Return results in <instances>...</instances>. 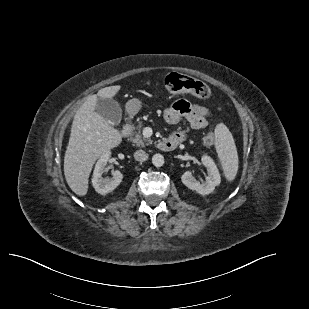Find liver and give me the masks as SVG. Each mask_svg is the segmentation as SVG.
Returning a JSON list of instances; mask_svg holds the SVG:
<instances>
[{
	"mask_svg": "<svg viewBox=\"0 0 309 309\" xmlns=\"http://www.w3.org/2000/svg\"><path fill=\"white\" fill-rule=\"evenodd\" d=\"M121 86H109L91 95L77 110L64 157V175L71 190L84 196L88 192V179L95 161L117 147L122 136L96 112L98 98L112 99Z\"/></svg>",
	"mask_w": 309,
	"mask_h": 309,
	"instance_id": "1",
	"label": "liver"
}]
</instances>
